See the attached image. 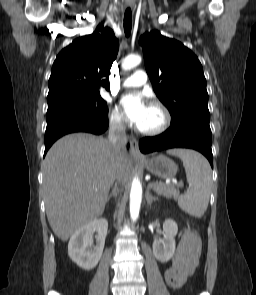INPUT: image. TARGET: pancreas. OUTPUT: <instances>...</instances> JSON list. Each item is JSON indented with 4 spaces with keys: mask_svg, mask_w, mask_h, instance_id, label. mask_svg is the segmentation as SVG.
I'll list each match as a JSON object with an SVG mask.
<instances>
[{
    "mask_svg": "<svg viewBox=\"0 0 256 295\" xmlns=\"http://www.w3.org/2000/svg\"><path fill=\"white\" fill-rule=\"evenodd\" d=\"M148 187L152 188L158 195H162L168 199L179 198V190H177L174 185H165L162 182H152Z\"/></svg>",
    "mask_w": 256,
    "mask_h": 295,
    "instance_id": "1",
    "label": "pancreas"
}]
</instances>
